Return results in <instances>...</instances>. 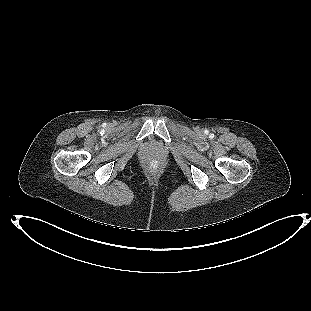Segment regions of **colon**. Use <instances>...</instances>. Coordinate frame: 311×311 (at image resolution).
Listing matches in <instances>:
<instances>
[{"label":"colon","instance_id":"colon-1","mask_svg":"<svg viewBox=\"0 0 311 311\" xmlns=\"http://www.w3.org/2000/svg\"><path fill=\"white\" fill-rule=\"evenodd\" d=\"M159 165V162L157 160H152L150 163L151 168H156Z\"/></svg>","mask_w":311,"mask_h":311}]
</instances>
